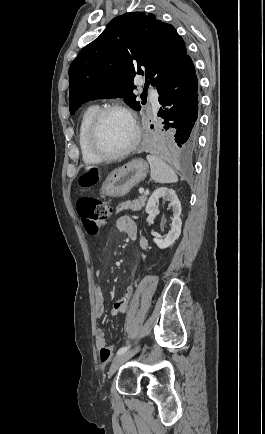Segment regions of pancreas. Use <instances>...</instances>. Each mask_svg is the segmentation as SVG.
I'll return each instance as SVG.
<instances>
[{"instance_id":"cf45deb5","label":"pancreas","mask_w":265,"mask_h":434,"mask_svg":"<svg viewBox=\"0 0 265 434\" xmlns=\"http://www.w3.org/2000/svg\"><path fill=\"white\" fill-rule=\"evenodd\" d=\"M147 200L146 194H143V196H139L138 200H127V202H122V204H119L116 208V212H122V210H133V212H138V210H141V208H144L145 202Z\"/></svg>"}]
</instances>
